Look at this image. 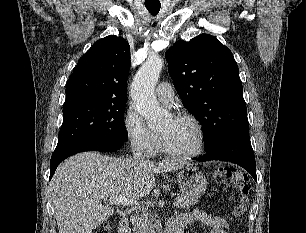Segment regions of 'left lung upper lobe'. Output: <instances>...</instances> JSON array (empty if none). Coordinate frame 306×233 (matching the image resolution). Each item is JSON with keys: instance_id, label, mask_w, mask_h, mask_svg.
Wrapping results in <instances>:
<instances>
[{"instance_id": "5c2ea615", "label": "left lung upper lobe", "mask_w": 306, "mask_h": 233, "mask_svg": "<svg viewBox=\"0 0 306 233\" xmlns=\"http://www.w3.org/2000/svg\"><path fill=\"white\" fill-rule=\"evenodd\" d=\"M169 74L186 109L203 125L205 149L249 136L246 103L232 52L215 37L179 40L165 54Z\"/></svg>"}]
</instances>
